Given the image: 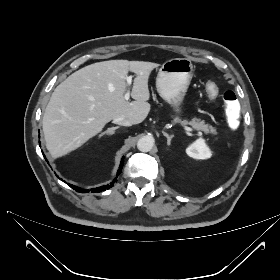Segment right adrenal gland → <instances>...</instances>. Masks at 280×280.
<instances>
[{
  "instance_id": "right-adrenal-gland-1",
  "label": "right adrenal gland",
  "mask_w": 280,
  "mask_h": 280,
  "mask_svg": "<svg viewBox=\"0 0 280 280\" xmlns=\"http://www.w3.org/2000/svg\"><path fill=\"white\" fill-rule=\"evenodd\" d=\"M119 129V126L116 127H111L108 128L106 131L102 132L99 137H102L103 135L107 134V135H113L115 133V130Z\"/></svg>"
}]
</instances>
